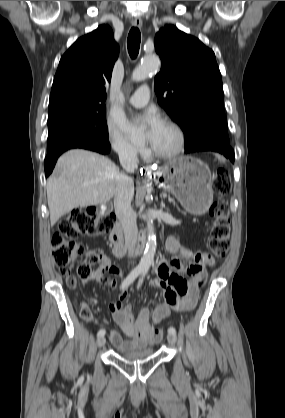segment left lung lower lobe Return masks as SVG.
Listing matches in <instances>:
<instances>
[{"mask_svg": "<svg viewBox=\"0 0 285 418\" xmlns=\"http://www.w3.org/2000/svg\"><path fill=\"white\" fill-rule=\"evenodd\" d=\"M197 151H215L223 154L225 157L229 158L231 162L234 163V152L230 145L223 143H202L196 146H193L189 149H185L186 153L197 152Z\"/></svg>", "mask_w": 285, "mask_h": 418, "instance_id": "left-lung-lower-lobe-1", "label": "left lung lower lobe"}]
</instances>
